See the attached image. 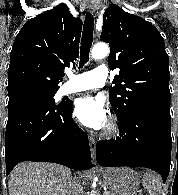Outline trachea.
Wrapping results in <instances>:
<instances>
[{
  "mask_svg": "<svg viewBox=\"0 0 178 195\" xmlns=\"http://www.w3.org/2000/svg\"><path fill=\"white\" fill-rule=\"evenodd\" d=\"M93 27V16L91 13L87 12L81 39L79 68H82L84 64L89 61L90 48L93 42Z\"/></svg>",
  "mask_w": 178,
  "mask_h": 195,
  "instance_id": "3493384b",
  "label": "trachea"
}]
</instances>
